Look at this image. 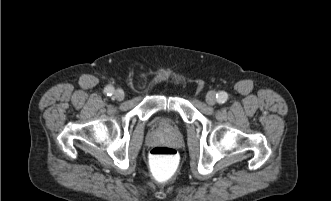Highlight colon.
<instances>
[{"mask_svg": "<svg viewBox=\"0 0 331 201\" xmlns=\"http://www.w3.org/2000/svg\"><path fill=\"white\" fill-rule=\"evenodd\" d=\"M180 157L176 149L169 146L153 147L149 153V168L158 182L172 179L178 172Z\"/></svg>", "mask_w": 331, "mask_h": 201, "instance_id": "1", "label": "colon"}]
</instances>
